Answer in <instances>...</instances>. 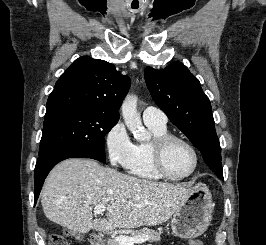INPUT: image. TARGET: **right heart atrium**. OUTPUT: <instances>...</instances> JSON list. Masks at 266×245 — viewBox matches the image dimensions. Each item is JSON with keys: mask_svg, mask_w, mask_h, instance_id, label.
<instances>
[{"mask_svg": "<svg viewBox=\"0 0 266 245\" xmlns=\"http://www.w3.org/2000/svg\"><path fill=\"white\" fill-rule=\"evenodd\" d=\"M135 143L122 122L113 124L104 135V147L111 166L127 170L133 160Z\"/></svg>", "mask_w": 266, "mask_h": 245, "instance_id": "obj_1", "label": "right heart atrium"}]
</instances>
